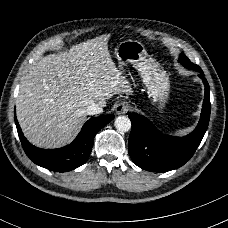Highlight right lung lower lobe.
I'll list each match as a JSON object with an SVG mask.
<instances>
[{"mask_svg":"<svg viewBox=\"0 0 228 228\" xmlns=\"http://www.w3.org/2000/svg\"><path fill=\"white\" fill-rule=\"evenodd\" d=\"M14 118L26 155L34 163L48 170L67 172L83 165L88 160L95 135L114 118V115H102L88 120L70 145L50 150L40 149L30 144L21 131L16 115Z\"/></svg>","mask_w":228,"mask_h":228,"instance_id":"98d812e1","label":"right lung lower lobe"}]
</instances>
